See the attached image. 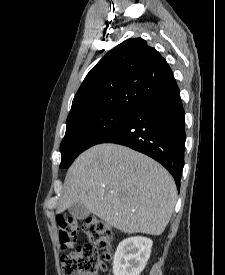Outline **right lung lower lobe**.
<instances>
[{
    "label": "right lung lower lobe",
    "instance_id": "right-lung-lower-lobe-1",
    "mask_svg": "<svg viewBox=\"0 0 225 275\" xmlns=\"http://www.w3.org/2000/svg\"><path fill=\"white\" fill-rule=\"evenodd\" d=\"M184 109L177 88L135 109L100 143L130 147L161 163L180 187L185 151Z\"/></svg>",
    "mask_w": 225,
    "mask_h": 275
}]
</instances>
